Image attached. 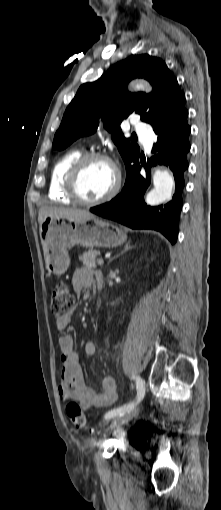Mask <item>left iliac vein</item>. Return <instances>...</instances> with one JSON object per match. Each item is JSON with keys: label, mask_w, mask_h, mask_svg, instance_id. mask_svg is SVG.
Here are the masks:
<instances>
[{"label": "left iliac vein", "mask_w": 221, "mask_h": 510, "mask_svg": "<svg viewBox=\"0 0 221 510\" xmlns=\"http://www.w3.org/2000/svg\"><path fill=\"white\" fill-rule=\"evenodd\" d=\"M141 381L144 383V380L142 378H141ZM144 387H145V383H144ZM138 411H139V406L137 405L130 411L126 412L125 414H123L121 416H117L116 418L113 419V421L110 425V428L112 429L116 426H121V425L127 424L129 421H131L137 415Z\"/></svg>", "instance_id": "1"}]
</instances>
